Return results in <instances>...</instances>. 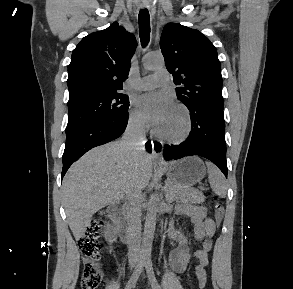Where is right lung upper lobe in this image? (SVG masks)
<instances>
[{"label":"right lung upper lobe","instance_id":"1","mask_svg":"<svg viewBox=\"0 0 293 289\" xmlns=\"http://www.w3.org/2000/svg\"><path fill=\"white\" fill-rule=\"evenodd\" d=\"M136 47L135 36L117 22L84 37L73 50L68 65L69 101L120 92Z\"/></svg>","mask_w":293,"mask_h":289}]
</instances>
